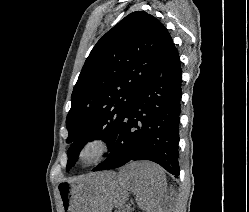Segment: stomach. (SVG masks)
<instances>
[{
    "mask_svg": "<svg viewBox=\"0 0 249 212\" xmlns=\"http://www.w3.org/2000/svg\"><path fill=\"white\" fill-rule=\"evenodd\" d=\"M112 170H94V174L77 175V180L58 186L62 212H109L124 204L127 184H119Z\"/></svg>",
    "mask_w": 249,
    "mask_h": 212,
    "instance_id": "1",
    "label": "stomach"
}]
</instances>
